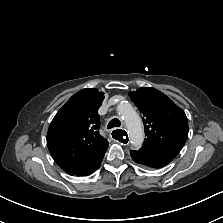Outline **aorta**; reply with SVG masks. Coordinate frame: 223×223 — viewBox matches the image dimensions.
Here are the masks:
<instances>
[{"label":"aorta","instance_id":"762f6f07","mask_svg":"<svg viewBox=\"0 0 223 223\" xmlns=\"http://www.w3.org/2000/svg\"><path fill=\"white\" fill-rule=\"evenodd\" d=\"M118 112L125 121L132 146L140 148L143 143L144 133L139 115L129 103L125 102L118 105Z\"/></svg>","mask_w":223,"mask_h":223}]
</instances>
